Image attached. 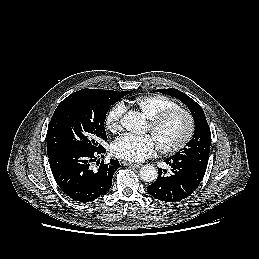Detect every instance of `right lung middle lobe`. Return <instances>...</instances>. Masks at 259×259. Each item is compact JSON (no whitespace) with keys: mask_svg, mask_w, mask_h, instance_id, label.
I'll return each instance as SVG.
<instances>
[{"mask_svg":"<svg viewBox=\"0 0 259 259\" xmlns=\"http://www.w3.org/2000/svg\"><path fill=\"white\" fill-rule=\"evenodd\" d=\"M130 91L111 93L82 89L65 98L56 108L47 130L48 156L71 149L96 151L107 140L104 122L109 107Z\"/></svg>","mask_w":259,"mask_h":259,"instance_id":"obj_1","label":"right lung middle lobe"}]
</instances>
